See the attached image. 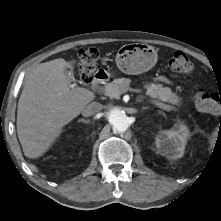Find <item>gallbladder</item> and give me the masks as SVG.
Wrapping results in <instances>:
<instances>
[{
    "label": "gallbladder",
    "mask_w": 221,
    "mask_h": 221,
    "mask_svg": "<svg viewBox=\"0 0 221 221\" xmlns=\"http://www.w3.org/2000/svg\"><path fill=\"white\" fill-rule=\"evenodd\" d=\"M68 72H70V70H68V69H65V73H66V74H68Z\"/></svg>",
    "instance_id": "gallbladder-1"
}]
</instances>
